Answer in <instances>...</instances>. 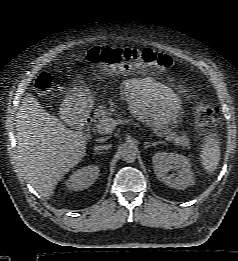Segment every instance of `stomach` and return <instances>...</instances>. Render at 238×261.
<instances>
[{"instance_id":"obj_1","label":"stomach","mask_w":238,"mask_h":261,"mask_svg":"<svg viewBox=\"0 0 238 261\" xmlns=\"http://www.w3.org/2000/svg\"><path fill=\"white\" fill-rule=\"evenodd\" d=\"M93 107V97L82 81L74 82V90L64 100V108L73 115H84Z\"/></svg>"}]
</instances>
